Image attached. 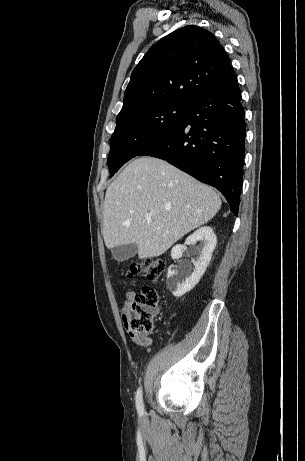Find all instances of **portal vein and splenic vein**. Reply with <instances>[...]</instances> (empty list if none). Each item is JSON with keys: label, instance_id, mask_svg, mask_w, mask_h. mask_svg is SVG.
Returning a JSON list of instances; mask_svg holds the SVG:
<instances>
[{"label": "portal vein and splenic vein", "instance_id": "portal-vein-and-splenic-vein-1", "mask_svg": "<svg viewBox=\"0 0 305 461\" xmlns=\"http://www.w3.org/2000/svg\"><path fill=\"white\" fill-rule=\"evenodd\" d=\"M145 219L147 221H150L151 220V214H145Z\"/></svg>", "mask_w": 305, "mask_h": 461}]
</instances>
